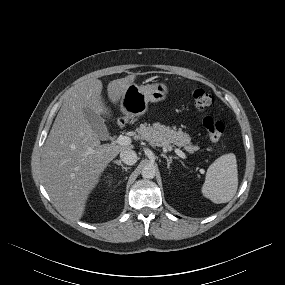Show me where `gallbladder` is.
<instances>
[{"label":"gallbladder","mask_w":285,"mask_h":285,"mask_svg":"<svg viewBox=\"0 0 285 285\" xmlns=\"http://www.w3.org/2000/svg\"><path fill=\"white\" fill-rule=\"evenodd\" d=\"M84 115L97 136L102 140H106L109 137V132L103 118L89 108L84 109Z\"/></svg>","instance_id":"gallbladder-1"}]
</instances>
